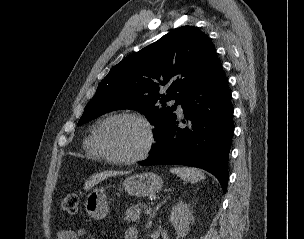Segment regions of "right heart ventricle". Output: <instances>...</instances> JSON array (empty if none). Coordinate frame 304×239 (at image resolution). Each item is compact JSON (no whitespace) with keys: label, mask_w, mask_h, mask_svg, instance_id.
<instances>
[{"label":"right heart ventricle","mask_w":304,"mask_h":239,"mask_svg":"<svg viewBox=\"0 0 304 239\" xmlns=\"http://www.w3.org/2000/svg\"><path fill=\"white\" fill-rule=\"evenodd\" d=\"M95 130V129H94ZM94 130L90 133V135L85 140V151L87 155L95 159H104V157L99 153L96 149L93 141Z\"/></svg>","instance_id":"1"}]
</instances>
